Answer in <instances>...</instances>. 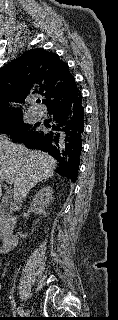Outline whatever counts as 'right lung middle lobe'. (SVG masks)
Returning a JSON list of instances; mask_svg holds the SVG:
<instances>
[{"instance_id":"right-lung-middle-lobe-1","label":"right lung middle lobe","mask_w":118,"mask_h":320,"mask_svg":"<svg viewBox=\"0 0 118 320\" xmlns=\"http://www.w3.org/2000/svg\"><path fill=\"white\" fill-rule=\"evenodd\" d=\"M37 129V124L24 123L22 116H7L0 118V133L11 135L15 142L29 136Z\"/></svg>"}]
</instances>
